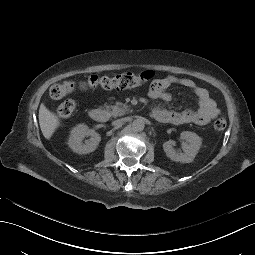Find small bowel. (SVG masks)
I'll list each match as a JSON object with an SVG mask.
<instances>
[{
  "label": "small bowel",
  "instance_id": "small-bowel-1",
  "mask_svg": "<svg viewBox=\"0 0 255 255\" xmlns=\"http://www.w3.org/2000/svg\"><path fill=\"white\" fill-rule=\"evenodd\" d=\"M174 84H179L190 89L198 98L199 108L196 111H168L171 114V123L207 125L219 113V109L215 101L211 98L209 91L188 78L170 75L155 79L149 87V96L155 100L168 99L169 95L165 92V89Z\"/></svg>",
  "mask_w": 255,
  "mask_h": 255
}]
</instances>
